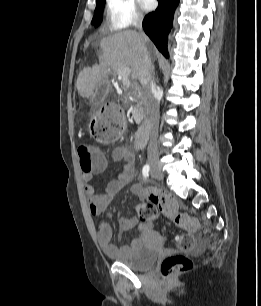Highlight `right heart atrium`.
<instances>
[{
    "instance_id": "obj_1",
    "label": "right heart atrium",
    "mask_w": 261,
    "mask_h": 306,
    "mask_svg": "<svg viewBox=\"0 0 261 306\" xmlns=\"http://www.w3.org/2000/svg\"><path fill=\"white\" fill-rule=\"evenodd\" d=\"M107 13L109 25L114 30H124L142 21L136 0H107Z\"/></svg>"
}]
</instances>
